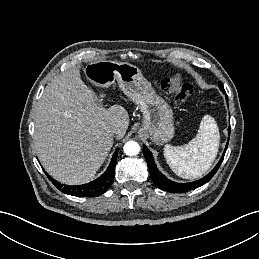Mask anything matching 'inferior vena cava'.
I'll list each match as a JSON object with an SVG mask.
<instances>
[{"label":"inferior vena cava","instance_id":"obj_1","mask_svg":"<svg viewBox=\"0 0 259 259\" xmlns=\"http://www.w3.org/2000/svg\"><path fill=\"white\" fill-rule=\"evenodd\" d=\"M109 132L111 135H118L120 133V129L118 127H112Z\"/></svg>","mask_w":259,"mask_h":259}]
</instances>
